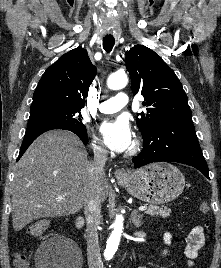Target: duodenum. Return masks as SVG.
Segmentation results:
<instances>
[{"instance_id":"410a0bca","label":"duodenum","mask_w":221,"mask_h":268,"mask_svg":"<svg viewBox=\"0 0 221 268\" xmlns=\"http://www.w3.org/2000/svg\"><path fill=\"white\" fill-rule=\"evenodd\" d=\"M84 225V219L82 217H79L76 221V227L80 229Z\"/></svg>"}]
</instances>
